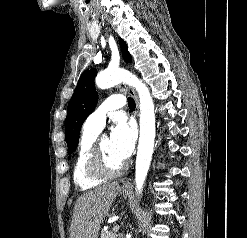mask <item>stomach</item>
Masks as SVG:
<instances>
[{"label":"stomach","mask_w":247,"mask_h":238,"mask_svg":"<svg viewBox=\"0 0 247 238\" xmlns=\"http://www.w3.org/2000/svg\"><path fill=\"white\" fill-rule=\"evenodd\" d=\"M122 194H123V197H127V196L129 195V192L126 191V190H123V191H122Z\"/></svg>","instance_id":"obj_1"}]
</instances>
